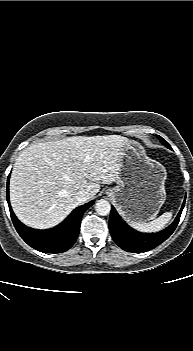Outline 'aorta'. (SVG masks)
Segmentation results:
<instances>
[{
  "instance_id": "1",
  "label": "aorta",
  "mask_w": 193,
  "mask_h": 351,
  "mask_svg": "<svg viewBox=\"0 0 193 351\" xmlns=\"http://www.w3.org/2000/svg\"><path fill=\"white\" fill-rule=\"evenodd\" d=\"M95 210L97 212V214L101 215V216H105L108 215L110 213L111 210V206L110 203L106 200H98L97 203L95 204Z\"/></svg>"
}]
</instances>
